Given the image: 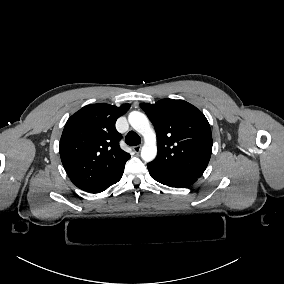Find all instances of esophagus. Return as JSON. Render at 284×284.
Segmentation results:
<instances>
[{
  "mask_svg": "<svg viewBox=\"0 0 284 284\" xmlns=\"http://www.w3.org/2000/svg\"><path fill=\"white\" fill-rule=\"evenodd\" d=\"M133 150H134L135 153H139L140 150H141V145H136V146H134V147H133Z\"/></svg>",
  "mask_w": 284,
  "mask_h": 284,
  "instance_id": "esophagus-1",
  "label": "esophagus"
}]
</instances>
